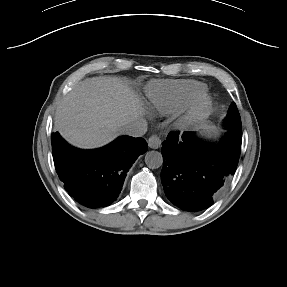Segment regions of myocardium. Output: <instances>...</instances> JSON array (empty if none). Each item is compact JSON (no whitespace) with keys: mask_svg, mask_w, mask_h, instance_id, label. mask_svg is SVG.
<instances>
[{"mask_svg":"<svg viewBox=\"0 0 287 287\" xmlns=\"http://www.w3.org/2000/svg\"><path fill=\"white\" fill-rule=\"evenodd\" d=\"M213 105L210 95L204 91L194 96L182 108V121L185 125H191L204 118Z\"/></svg>","mask_w":287,"mask_h":287,"instance_id":"myocardium-1","label":"myocardium"}]
</instances>
